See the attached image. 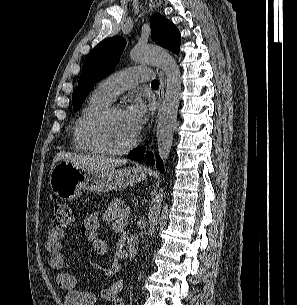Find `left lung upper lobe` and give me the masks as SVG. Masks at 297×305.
Wrapping results in <instances>:
<instances>
[{"label":"left lung upper lobe","mask_w":297,"mask_h":305,"mask_svg":"<svg viewBox=\"0 0 297 305\" xmlns=\"http://www.w3.org/2000/svg\"><path fill=\"white\" fill-rule=\"evenodd\" d=\"M152 39L162 47L179 53L181 36L177 27L161 14L155 13L150 18ZM126 40L111 37L101 41L86 57L78 87L73 90V109L77 111L92 89V84L108 76L119 62Z\"/></svg>","instance_id":"1"}]
</instances>
